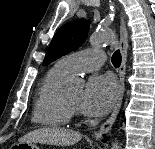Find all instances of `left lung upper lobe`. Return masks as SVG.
I'll return each instance as SVG.
<instances>
[{
    "instance_id": "left-lung-upper-lobe-1",
    "label": "left lung upper lobe",
    "mask_w": 155,
    "mask_h": 149,
    "mask_svg": "<svg viewBox=\"0 0 155 149\" xmlns=\"http://www.w3.org/2000/svg\"><path fill=\"white\" fill-rule=\"evenodd\" d=\"M89 23L86 20H76L64 24L54 35L43 65H48L56 59L76 50L85 41Z\"/></svg>"
}]
</instances>
